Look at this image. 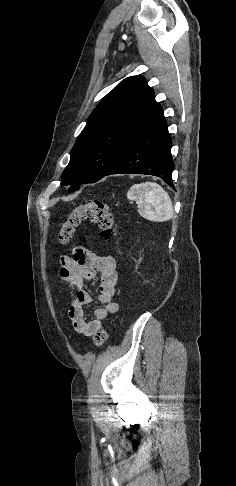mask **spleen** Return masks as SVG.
Instances as JSON below:
<instances>
[{
  "label": "spleen",
  "mask_w": 236,
  "mask_h": 486,
  "mask_svg": "<svg viewBox=\"0 0 236 486\" xmlns=\"http://www.w3.org/2000/svg\"><path fill=\"white\" fill-rule=\"evenodd\" d=\"M127 197L137 202L139 214L150 221L163 222L173 217L174 210L168 193L155 182L133 185Z\"/></svg>",
  "instance_id": "obj_1"
}]
</instances>
